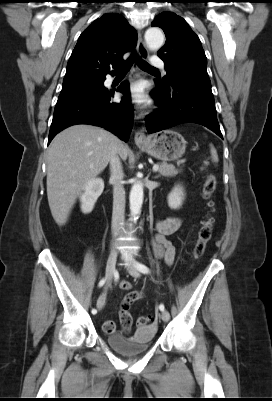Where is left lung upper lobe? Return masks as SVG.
<instances>
[{
    "instance_id": "1",
    "label": "left lung upper lobe",
    "mask_w": 272,
    "mask_h": 401,
    "mask_svg": "<svg viewBox=\"0 0 272 401\" xmlns=\"http://www.w3.org/2000/svg\"><path fill=\"white\" fill-rule=\"evenodd\" d=\"M152 26L161 27L166 35L165 45L158 51L167 75L158 84L168 86L173 81L211 87L207 59L199 37L186 21L172 12L155 17Z\"/></svg>"
}]
</instances>
